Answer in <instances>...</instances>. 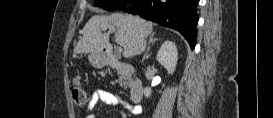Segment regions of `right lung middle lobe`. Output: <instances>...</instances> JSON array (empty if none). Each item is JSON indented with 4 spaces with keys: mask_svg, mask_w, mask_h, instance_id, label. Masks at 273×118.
Listing matches in <instances>:
<instances>
[{
    "mask_svg": "<svg viewBox=\"0 0 273 118\" xmlns=\"http://www.w3.org/2000/svg\"><path fill=\"white\" fill-rule=\"evenodd\" d=\"M133 0H95V6L108 11L121 10L129 5Z\"/></svg>",
    "mask_w": 273,
    "mask_h": 118,
    "instance_id": "right-lung-middle-lobe-1",
    "label": "right lung middle lobe"
}]
</instances>
